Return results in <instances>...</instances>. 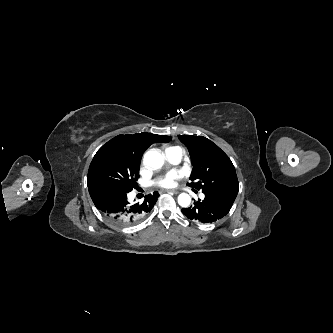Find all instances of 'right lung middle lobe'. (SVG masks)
<instances>
[{"instance_id": "obj_1", "label": "right lung middle lobe", "mask_w": 333, "mask_h": 333, "mask_svg": "<svg viewBox=\"0 0 333 333\" xmlns=\"http://www.w3.org/2000/svg\"><path fill=\"white\" fill-rule=\"evenodd\" d=\"M139 166L115 149L100 148L89 166L87 185L103 182L132 191L137 187Z\"/></svg>"}]
</instances>
